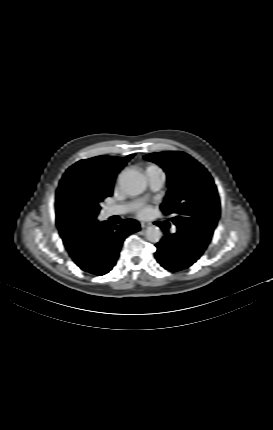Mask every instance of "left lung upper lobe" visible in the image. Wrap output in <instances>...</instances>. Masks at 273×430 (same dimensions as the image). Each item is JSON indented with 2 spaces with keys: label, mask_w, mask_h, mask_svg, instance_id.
Returning <instances> with one entry per match:
<instances>
[{
  "label": "left lung upper lobe",
  "mask_w": 273,
  "mask_h": 430,
  "mask_svg": "<svg viewBox=\"0 0 273 430\" xmlns=\"http://www.w3.org/2000/svg\"><path fill=\"white\" fill-rule=\"evenodd\" d=\"M144 158L167 173L169 191L161 204L162 212L172 214L175 225L207 246L220 215L218 192L208 171L184 152L152 153Z\"/></svg>",
  "instance_id": "left-lung-upper-lobe-1"
}]
</instances>
